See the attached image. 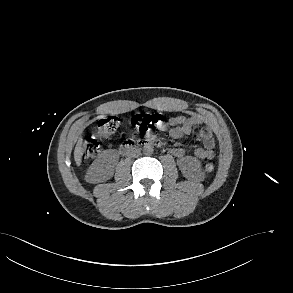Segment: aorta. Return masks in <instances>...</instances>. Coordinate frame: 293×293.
<instances>
[{"label":"aorta","instance_id":"762f6f07","mask_svg":"<svg viewBox=\"0 0 293 293\" xmlns=\"http://www.w3.org/2000/svg\"><path fill=\"white\" fill-rule=\"evenodd\" d=\"M153 151H154V149H153V146L152 145H150V144L144 145V147H143V153L145 155H151V154H153Z\"/></svg>","mask_w":293,"mask_h":293}]
</instances>
